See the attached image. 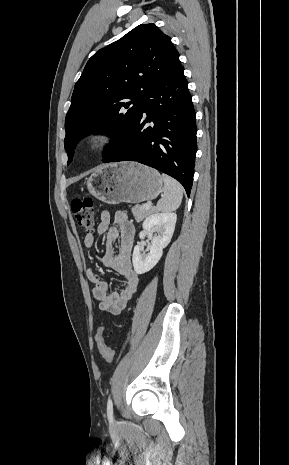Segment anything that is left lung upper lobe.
I'll list each match as a JSON object with an SVG mask.
<instances>
[{"mask_svg": "<svg viewBox=\"0 0 289 465\" xmlns=\"http://www.w3.org/2000/svg\"><path fill=\"white\" fill-rule=\"evenodd\" d=\"M180 66L170 37L155 24L139 25L96 52L75 84L66 115L68 163L72 148L90 133L112 136L104 157L116 150L138 117L144 94Z\"/></svg>", "mask_w": 289, "mask_h": 465, "instance_id": "1", "label": "left lung upper lobe"}]
</instances>
